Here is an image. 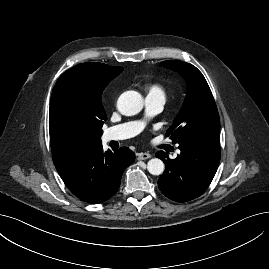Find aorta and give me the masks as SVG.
I'll return each mask as SVG.
<instances>
[{
  "mask_svg": "<svg viewBox=\"0 0 269 269\" xmlns=\"http://www.w3.org/2000/svg\"><path fill=\"white\" fill-rule=\"evenodd\" d=\"M118 110L125 116L138 114L143 108V98L136 91H126L120 95L117 101ZM147 169L152 175H160L165 169L162 160L153 158L148 161Z\"/></svg>",
  "mask_w": 269,
  "mask_h": 269,
  "instance_id": "aorta-1",
  "label": "aorta"
}]
</instances>
